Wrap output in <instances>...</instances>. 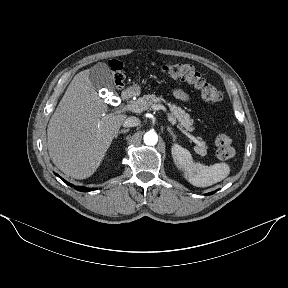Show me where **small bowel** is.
I'll use <instances>...</instances> for the list:
<instances>
[{"mask_svg": "<svg viewBox=\"0 0 288 288\" xmlns=\"http://www.w3.org/2000/svg\"><path fill=\"white\" fill-rule=\"evenodd\" d=\"M173 95H174V97L177 98L178 100H181V101H187V100H188V95H187V93L184 92V91L181 90V89H176V90H174Z\"/></svg>", "mask_w": 288, "mask_h": 288, "instance_id": "1", "label": "small bowel"}]
</instances>
